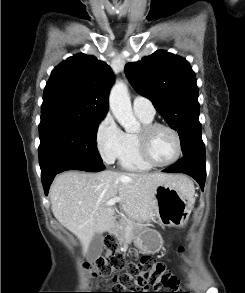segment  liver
<instances>
[{"mask_svg":"<svg viewBox=\"0 0 245 293\" xmlns=\"http://www.w3.org/2000/svg\"><path fill=\"white\" fill-rule=\"evenodd\" d=\"M172 184L192 198L190 181L182 175L166 173H99L68 171L58 175L49 190L55 218L77 236L86 254L95 233L115 227V208L106 203L121 198L128 217L153 219L154 192L159 185Z\"/></svg>","mask_w":245,"mask_h":293,"instance_id":"liver-1","label":"liver"}]
</instances>
